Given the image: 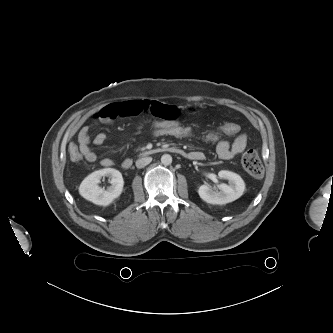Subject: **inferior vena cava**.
<instances>
[{"mask_svg": "<svg viewBox=\"0 0 333 333\" xmlns=\"http://www.w3.org/2000/svg\"><path fill=\"white\" fill-rule=\"evenodd\" d=\"M152 161V158L151 157H144V158H141V159H138L136 161V167L137 168H144L146 165H148L150 162Z\"/></svg>", "mask_w": 333, "mask_h": 333, "instance_id": "602c4592", "label": "inferior vena cava"}]
</instances>
